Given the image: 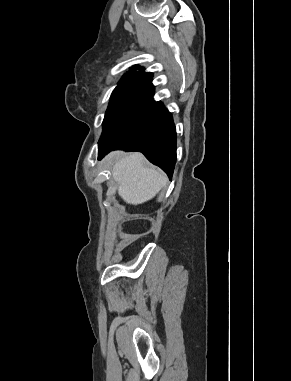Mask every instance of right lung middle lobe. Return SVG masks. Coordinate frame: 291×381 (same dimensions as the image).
<instances>
[{
  "label": "right lung middle lobe",
  "mask_w": 291,
  "mask_h": 381,
  "mask_svg": "<svg viewBox=\"0 0 291 381\" xmlns=\"http://www.w3.org/2000/svg\"><path fill=\"white\" fill-rule=\"evenodd\" d=\"M141 79L118 84L114 89L103 121V132L99 142H115L120 136L121 123L135 96Z\"/></svg>",
  "instance_id": "1"
}]
</instances>
